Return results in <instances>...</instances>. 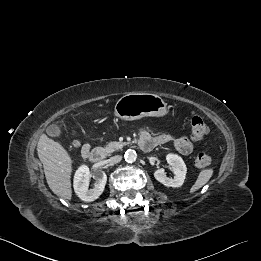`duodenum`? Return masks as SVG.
I'll list each match as a JSON object with an SVG mask.
<instances>
[{
    "instance_id": "duodenum-1",
    "label": "duodenum",
    "mask_w": 261,
    "mask_h": 261,
    "mask_svg": "<svg viewBox=\"0 0 261 261\" xmlns=\"http://www.w3.org/2000/svg\"><path fill=\"white\" fill-rule=\"evenodd\" d=\"M139 146L141 149H143L145 151H149L153 148V146L150 143H147L144 141H140ZM82 155L88 161H90L92 163H98L103 159L104 152L101 150H84V151H82Z\"/></svg>"
}]
</instances>
